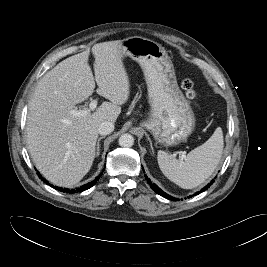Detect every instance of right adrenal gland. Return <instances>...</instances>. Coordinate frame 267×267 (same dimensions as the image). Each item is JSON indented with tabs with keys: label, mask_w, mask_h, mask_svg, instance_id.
Segmentation results:
<instances>
[{
	"label": "right adrenal gland",
	"mask_w": 267,
	"mask_h": 267,
	"mask_svg": "<svg viewBox=\"0 0 267 267\" xmlns=\"http://www.w3.org/2000/svg\"><path fill=\"white\" fill-rule=\"evenodd\" d=\"M103 138H105V136H101V137L98 138L97 145H96L97 146L96 147V156H99V154H100V141Z\"/></svg>",
	"instance_id": "2a0ac1e0"
}]
</instances>
